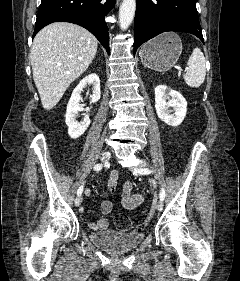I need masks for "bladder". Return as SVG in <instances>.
Wrapping results in <instances>:
<instances>
[{
  "instance_id": "31cf9c89",
  "label": "bladder",
  "mask_w": 240,
  "mask_h": 281,
  "mask_svg": "<svg viewBox=\"0 0 240 281\" xmlns=\"http://www.w3.org/2000/svg\"><path fill=\"white\" fill-rule=\"evenodd\" d=\"M90 240L96 246L111 252H124L137 247L143 240L142 232H120L113 230L90 233Z\"/></svg>"
}]
</instances>
